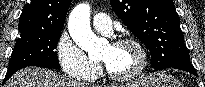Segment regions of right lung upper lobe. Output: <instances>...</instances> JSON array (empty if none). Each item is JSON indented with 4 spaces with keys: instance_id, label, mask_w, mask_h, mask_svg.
I'll return each instance as SVG.
<instances>
[{
    "instance_id": "1",
    "label": "right lung upper lobe",
    "mask_w": 205,
    "mask_h": 87,
    "mask_svg": "<svg viewBox=\"0 0 205 87\" xmlns=\"http://www.w3.org/2000/svg\"><path fill=\"white\" fill-rule=\"evenodd\" d=\"M72 0H31L22 10L19 31H62Z\"/></svg>"
}]
</instances>
